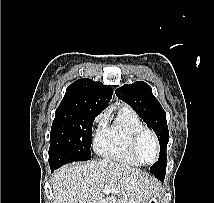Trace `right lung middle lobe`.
I'll use <instances>...</instances> for the list:
<instances>
[{"label":"right lung middle lobe","instance_id":"1","mask_svg":"<svg viewBox=\"0 0 214 203\" xmlns=\"http://www.w3.org/2000/svg\"><path fill=\"white\" fill-rule=\"evenodd\" d=\"M100 111L83 106H59L50 133L49 165L59 168L91 159L92 125Z\"/></svg>","mask_w":214,"mask_h":203}]
</instances>
